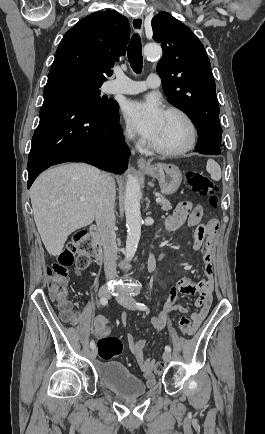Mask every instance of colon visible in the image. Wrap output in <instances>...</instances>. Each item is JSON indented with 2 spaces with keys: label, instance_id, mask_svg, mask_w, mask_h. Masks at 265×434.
I'll return each instance as SVG.
<instances>
[{
  "label": "colon",
  "instance_id": "obj_1",
  "mask_svg": "<svg viewBox=\"0 0 265 434\" xmlns=\"http://www.w3.org/2000/svg\"><path fill=\"white\" fill-rule=\"evenodd\" d=\"M187 182L190 189L197 195L207 198L212 208H218L219 199L217 196V186L207 176L200 172L192 171L187 175ZM85 247V246H83ZM74 261L80 269H85L89 258L87 255H75L74 247L68 245L60 254L58 260L47 268V286L51 299L59 300L61 308L67 312L70 304L65 301L68 283V268ZM211 303V302H210ZM63 322H70V313H63ZM179 328L182 334H189L193 331V320L180 318ZM98 354L102 361H110L115 356H120L123 350V343L117 336H104L99 339L97 344ZM164 370V364L160 360L155 366V373L160 374Z\"/></svg>",
  "mask_w": 265,
  "mask_h": 434
}]
</instances>
